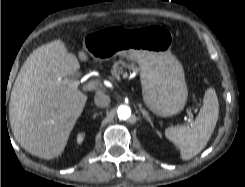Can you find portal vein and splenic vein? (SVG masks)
Masks as SVG:
<instances>
[{
    "label": "portal vein and splenic vein",
    "mask_w": 245,
    "mask_h": 187,
    "mask_svg": "<svg viewBox=\"0 0 245 187\" xmlns=\"http://www.w3.org/2000/svg\"><path fill=\"white\" fill-rule=\"evenodd\" d=\"M61 81H62L61 78L57 79V82H61ZM65 84H67L68 87H70L71 89L77 90L80 83L79 81L65 80ZM87 89H88L87 87H83V91H87ZM187 114L189 115L188 122L192 124L193 114L189 110H187Z\"/></svg>",
    "instance_id": "obj_1"
}]
</instances>
